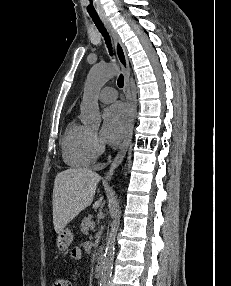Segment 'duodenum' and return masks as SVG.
<instances>
[{"mask_svg": "<svg viewBox=\"0 0 231 286\" xmlns=\"http://www.w3.org/2000/svg\"><path fill=\"white\" fill-rule=\"evenodd\" d=\"M102 270H103V262L101 260H99L96 263L95 270H94V275H95L96 278H100L101 277Z\"/></svg>", "mask_w": 231, "mask_h": 286, "instance_id": "410a0bca", "label": "duodenum"}]
</instances>
